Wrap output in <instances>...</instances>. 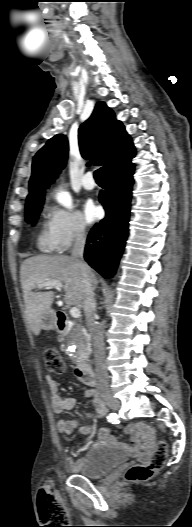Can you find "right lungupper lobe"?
Wrapping results in <instances>:
<instances>
[{
  "label": "right lung upper lobe",
  "instance_id": "obj_1",
  "mask_svg": "<svg viewBox=\"0 0 192 527\" xmlns=\"http://www.w3.org/2000/svg\"><path fill=\"white\" fill-rule=\"evenodd\" d=\"M79 147L83 158L96 159L89 164L104 165L105 172L133 149L123 124L104 102H98L91 117L79 128ZM68 142L65 135L51 138L35 155L26 206L44 200V191L66 165ZM88 164V165H89Z\"/></svg>",
  "mask_w": 192,
  "mask_h": 527
}]
</instances>
